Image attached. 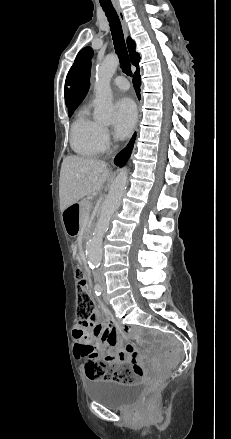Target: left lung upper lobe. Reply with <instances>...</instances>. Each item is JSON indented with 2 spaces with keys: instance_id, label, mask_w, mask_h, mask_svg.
<instances>
[{
  "instance_id": "left-lung-upper-lobe-1",
  "label": "left lung upper lobe",
  "mask_w": 231,
  "mask_h": 439,
  "mask_svg": "<svg viewBox=\"0 0 231 439\" xmlns=\"http://www.w3.org/2000/svg\"><path fill=\"white\" fill-rule=\"evenodd\" d=\"M92 55H93V51L90 47H86V48L82 49L77 54L76 59L74 61V64L68 72L66 81L73 80L74 77L76 76V74L78 73L79 69L81 68V66L84 64V62L88 58H91ZM68 93H69V90L67 88H65V96L68 95Z\"/></svg>"
}]
</instances>
